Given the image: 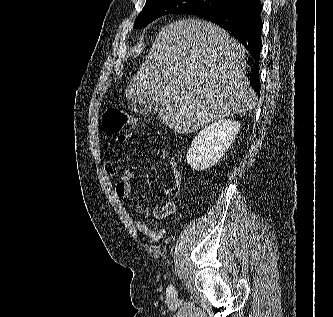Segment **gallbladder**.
Listing matches in <instances>:
<instances>
[{
  "label": "gallbladder",
  "instance_id": "1",
  "mask_svg": "<svg viewBox=\"0 0 333 317\" xmlns=\"http://www.w3.org/2000/svg\"><path fill=\"white\" fill-rule=\"evenodd\" d=\"M160 100L153 96H142L129 99L128 107L140 115H155L160 108Z\"/></svg>",
  "mask_w": 333,
  "mask_h": 317
}]
</instances>
